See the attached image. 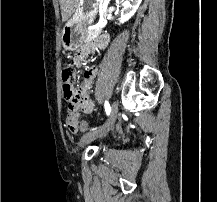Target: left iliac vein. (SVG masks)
I'll return each mask as SVG.
<instances>
[{
	"instance_id": "left-iliac-vein-1",
	"label": "left iliac vein",
	"mask_w": 217,
	"mask_h": 202,
	"mask_svg": "<svg viewBox=\"0 0 217 202\" xmlns=\"http://www.w3.org/2000/svg\"><path fill=\"white\" fill-rule=\"evenodd\" d=\"M117 116H118V103L116 101H113L111 104L110 115H109V118L107 119L106 123L100 129L83 135L81 137V139L79 140V146L83 147L84 145L88 144L89 142L107 134L111 130V128L113 127V125L117 119Z\"/></svg>"
}]
</instances>
